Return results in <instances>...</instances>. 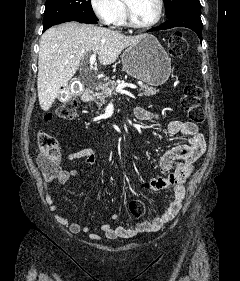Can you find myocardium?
Segmentation results:
<instances>
[{
    "instance_id": "f54148a6",
    "label": "myocardium",
    "mask_w": 240,
    "mask_h": 281,
    "mask_svg": "<svg viewBox=\"0 0 240 281\" xmlns=\"http://www.w3.org/2000/svg\"><path fill=\"white\" fill-rule=\"evenodd\" d=\"M125 5L126 22L135 29H148L155 26L161 20L164 11V0H157L158 9L155 18L148 23H138L133 16L132 7L128 0H123Z\"/></svg>"
}]
</instances>
